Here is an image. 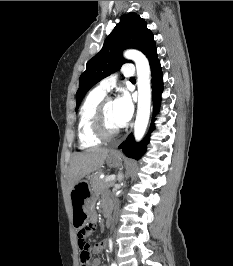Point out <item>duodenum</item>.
<instances>
[{
	"mask_svg": "<svg viewBox=\"0 0 233 266\" xmlns=\"http://www.w3.org/2000/svg\"><path fill=\"white\" fill-rule=\"evenodd\" d=\"M110 212H111V207L109 204H105L103 206V214L104 216H109L110 215Z\"/></svg>",
	"mask_w": 233,
	"mask_h": 266,
	"instance_id": "1",
	"label": "duodenum"
}]
</instances>
